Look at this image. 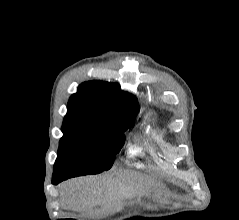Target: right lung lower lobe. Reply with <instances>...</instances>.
I'll return each instance as SVG.
<instances>
[{"label":"right lung lower lobe","instance_id":"obj_1","mask_svg":"<svg viewBox=\"0 0 239 220\" xmlns=\"http://www.w3.org/2000/svg\"><path fill=\"white\" fill-rule=\"evenodd\" d=\"M58 183H60V182L52 180V184H58Z\"/></svg>","mask_w":239,"mask_h":220}]
</instances>
